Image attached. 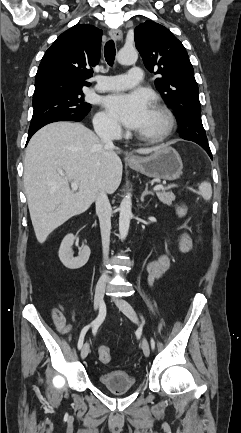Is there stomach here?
Wrapping results in <instances>:
<instances>
[{"mask_svg": "<svg viewBox=\"0 0 241 433\" xmlns=\"http://www.w3.org/2000/svg\"><path fill=\"white\" fill-rule=\"evenodd\" d=\"M128 165L147 177L174 181L182 174L183 163L178 152L167 145L161 146L148 157H137Z\"/></svg>", "mask_w": 241, "mask_h": 433, "instance_id": "stomach-1", "label": "stomach"}]
</instances>
